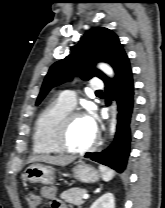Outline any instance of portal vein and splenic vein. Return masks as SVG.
Returning a JSON list of instances; mask_svg holds the SVG:
<instances>
[{"label":"portal vein and splenic vein","instance_id":"obj_1","mask_svg":"<svg viewBox=\"0 0 165 208\" xmlns=\"http://www.w3.org/2000/svg\"><path fill=\"white\" fill-rule=\"evenodd\" d=\"M89 198V195L88 194H84L83 195V199H88Z\"/></svg>","mask_w":165,"mask_h":208}]
</instances>
